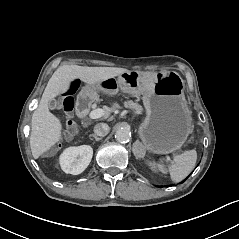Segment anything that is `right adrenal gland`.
Listing matches in <instances>:
<instances>
[{"instance_id":"2a0ac1e0","label":"right adrenal gland","mask_w":239,"mask_h":239,"mask_svg":"<svg viewBox=\"0 0 239 239\" xmlns=\"http://www.w3.org/2000/svg\"><path fill=\"white\" fill-rule=\"evenodd\" d=\"M90 137H93L96 141H99L102 139V137H98L96 134H91Z\"/></svg>"}]
</instances>
